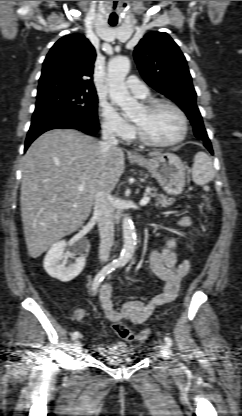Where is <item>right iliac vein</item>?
<instances>
[{
	"label": "right iliac vein",
	"mask_w": 242,
	"mask_h": 416,
	"mask_svg": "<svg viewBox=\"0 0 242 416\" xmlns=\"http://www.w3.org/2000/svg\"><path fill=\"white\" fill-rule=\"evenodd\" d=\"M74 350L77 351L80 348V341L75 340L73 343Z\"/></svg>",
	"instance_id": "63e3f726"
}]
</instances>
